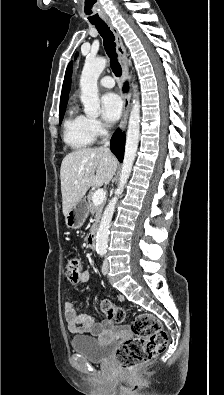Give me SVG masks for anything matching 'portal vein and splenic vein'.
<instances>
[{
	"label": "portal vein and splenic vein",
	"mask_w": 224,
	"mask_h": 395,
	"mask_svg": "<svg viewBox=\"0 0 224 395\" xmlns=\"http://www.w3.org/2000/svg\"><path fill=\"white\" fill-rule=\"evenodd\" d=\"M105 200V191L101 188L97 189L92 197L95 206L100 205Z\"/></svg>",
	"instance_id": "18ae733b"
}]
</instances>
